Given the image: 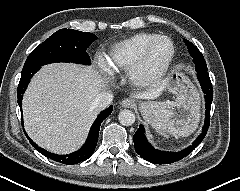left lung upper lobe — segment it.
Returning <instances> with one entry per match:
<instances>
[{"label":"left lung upper lobe","instance_id":"1","mask_svg":"<svg viewBox=\"0 0 240 191\" xmlns=\"http://www.w3.org/2000/svg\"><path fill=\"white\" fill-rule=\"evenodd\" d=\"M184 42L187 45L188 51L193 58V62L195 63V69L207 70L206 62L199 49L186 39H184Z\"/></svg>","mask_w":240,"mask_h":191}]
</instances>
